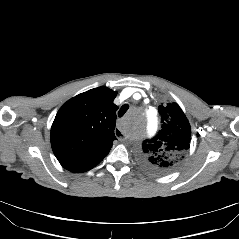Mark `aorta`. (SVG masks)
I'll return each mask as SVG.
<instances>
[{"instance_id":"1","label":"aorta","mask_w":239,"mask_h":239,"mask_svg":"<svg viewBox=\"0 0 239 239\" xmlns=\"http://www.w3.org/2000/svg\"><path fill=\"white\" fill-rule=\"evenodd\" d=\"M128 118H138L144 123L145 127H150L152 124L156 123L157 113L152 108H146L142 111L136 112Z\"/></svg>"}]
</instances>
